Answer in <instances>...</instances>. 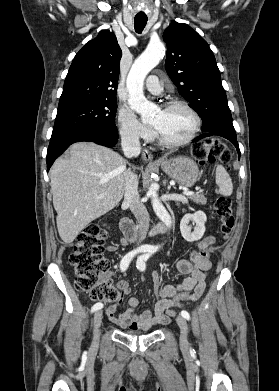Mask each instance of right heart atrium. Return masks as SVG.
<instances>
[{
  "mask_svg": "<svg viewBox=\"0 0 279 391\" xmlns=\"http://www.w3.org/2000/svg\"><path fill=\"white\" fill-rule=\"evenodd\" d=\"M118 126L121 136L129 141L137 142L152 136L151 128L141 122L129 109H120Z\"/></svg>",
  "mask_w": 279,
  "mask_h": 391,
  "instance_id": "right-heart-atrium-1",
  "label": "right heart atrium"
}]
</instances>
